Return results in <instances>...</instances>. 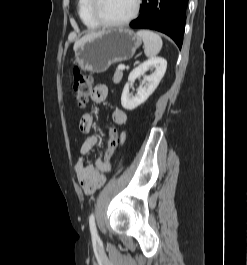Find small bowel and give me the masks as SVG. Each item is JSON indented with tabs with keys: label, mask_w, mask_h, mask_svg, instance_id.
<instances>
[{
	"label": "small bowel",
	"mask_w": 247,
	"mask_h": 265,
	"mask_svg": "<svg viewBox=\"0 0 247 265\" xmlns=\"http://www.w3.org/2000/svg\"><path fill=\"white\" fill-rule=\"evenodd\" d=\"M109 94V87L100 83L92 90L91 98L95 103L103 102ZM112 120L117 125H123L127 121V114L124 110L116 108L112 112ZM93 125V117L90 113L82 115L79 123V129L82 133L87 134L82 142L80 153L81 157L75 166V173L79 184L86 194H92L99 188H101L105 181V172L110 169L109 166H104L103 158L98 157L94 164H88L85 162V156L94 148L98 143V137L91 134ZM122 141L125 139V134H121Z\"/></svg>",
	"instance_id": "1"
}]
</instances>
